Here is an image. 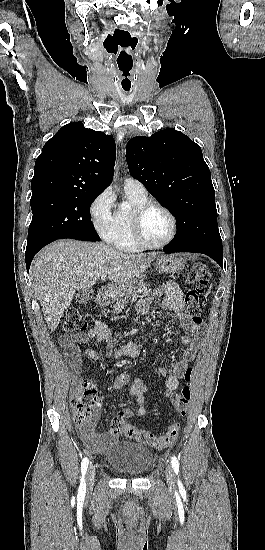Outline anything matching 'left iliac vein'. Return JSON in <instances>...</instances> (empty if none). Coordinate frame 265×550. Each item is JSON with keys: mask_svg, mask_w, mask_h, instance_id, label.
<instances>
[{"mask_svg": "<svg viewBox=\"0 0 265 550\" xmlns=\"http://www.w3.org/2000/svg\"><path fill=\"white\" fill-rule=\"evenodd\" d=\"M165 474H166L168 484L170 486H174V484H175V474H174L173 469L170 466H168L166 468Z\"/></svg>", "mask_w": 265, "mask_h": 550, "instance_id": "left-iliac-vein-1", "label": "left iliac vein"}]
</instances>
